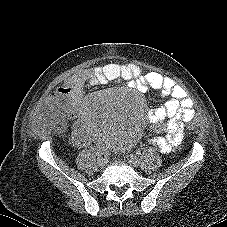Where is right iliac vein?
Masks as SVG:
<instances>
[{
    "label": "right iliac vein",
    "mask_w": 227,
    "mask_h": 227,
    "mask_svg": "<svg viewBox=\"0 0 227 227\" xmlns=\"http://www.w3.org/2000/svg\"><path fill=\"white\" fill-rule=\"evenodd\" d=\"M105 164H106V160H105L104 158L99 157V158L97 159V165H98L99 167H103V166H105Z\"/></svg>",
    "instance_id": "right-iliac-vein-1"
}]
</instances>
